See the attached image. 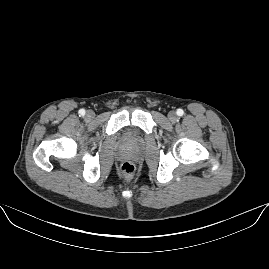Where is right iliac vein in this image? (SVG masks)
Wrapping results in <instances>:
<instances>
[{"mask_svg": "<svg viewBox=\"0 0 269 269\" xmlns=\"http://www.w3.org/2000/svg\"><path fill=\"white\" fill-rule=\"evenodd\" d=\"M95 117V113H94V111H92V110H88L87 112H86V118L88 119V120H91V119H93Z\"/></svg>", "mask_w": 269, "mask_h": 269, "instance_id": "obj_1", "label": "right iliac vein"}]
</instances>
